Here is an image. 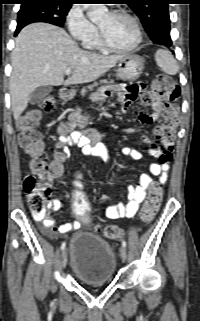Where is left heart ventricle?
Listing matches in <instances>:
<instances>
[{
  "label": "left heart ventricle",
  "mask_w": 200,
  "mask_h": 321,
  "mask_svg": "<svg viewBox=\"0 0 200 321\" xmlns=\"http://www.w3.org/2000/svg\"><path fill=\"white\" fill-rule=\"evenodd\" d=\"M108 41L117 48L131 46L136 40L133 22L126 17H113L106 14L98 23Z\"/></svg>",
  "instance_id": "1"
}]
</instances>
